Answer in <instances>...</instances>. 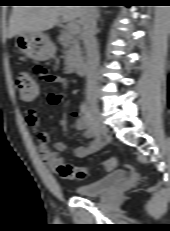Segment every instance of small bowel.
Masks as SVG:
<instances>
[{"mask_svg":"<svg viewBox=\"0 0 170 231\" xmlns=\"http://www.w3.org/2000/svg\"><path fill=\"white\" fill-rule=\"evenodd\" d=\"M32 77L36 81H61L59 78L51 75L47 68L42 64H35L31 68ZM62 96L59 94H50L49 100L52 104H59ZM75 117V127L77 130L83 132L84 136L90 140L87 145H82L74 150V156L76 158H84L103 146V141L97 139L95 135L88 128L82 114L77 112L72 114ZM27 124L36 133V141L38 145V151L41 156L42 162L50 169L56 170L60 164L63 163V158L60 156V152L64 151L67 146L63 142H57L51 148L48 144V135L40 130V118L34 110L29 111L26 117Z\"/></svg>","mask_w":170,"mask_h":231,"instance_id":"small-bowel-1","label":"small bowel"}]
</instances>
